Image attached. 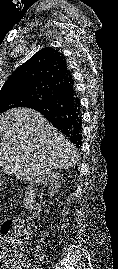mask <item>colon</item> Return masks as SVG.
I'll return each instance as SVG.
<instances>
[{"label": "colon", "instance_id": "obj_1", "mask_svg": "<svg viewBox=\"0 0 118 269\" xmlns=\"http://www.w3.org/2000/svg\"><path fill=\"white\" fill-rule=\"evenodd\" d=\"M1 186V180H0ZM24 225L18 219L8 220L1 225L0 268L14 269L16 247L23 233Z\"/></svg>", "mask_w": 118, "mask_h": 269}]
</instances>
